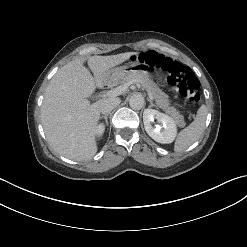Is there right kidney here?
<instances>
[{
	"label": "right kidney",
	"instance_id": "1",
	"mask_svg": "<svg viewBox=\"0 0 247 247\" xmlns=\"http://www.w3.org/2000/svg\"><path fill=\"white\" fill-rule=\"evenodd\" d=\"M104 132V126L103 125H99L98 128H97V134L99 136H101Z\"/></svg>",
	"mask_w": 247,
	"mask_h": 247
}]
</instances>
